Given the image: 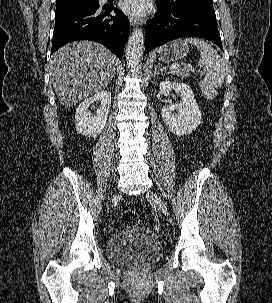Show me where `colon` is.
Here are the masks:
<instances>
[{
	"instance_id": "5ec220e1",
	"label": "colon",
	"mask_w": 272,
	"mask_h": 303,
	"mask_svg": "<svg viewBox=\"0 0 272 303\" xmlns=\"http://www.w3.org/2000/svg\"><path fill=\"white\" fill-rule=\"evenodd\" d=\"M139 222V216L132 209L125 210L121 215V223L126 227L136 226Z\"/></svg>"
}]
</instances>
